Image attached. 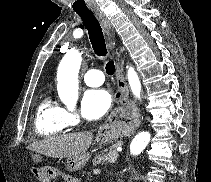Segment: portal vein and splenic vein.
Segmentation results:
<instances>
[{
  "mask_svg": "<svg viewBox=\"0 0 211 182\" xmlns=\"http://www.w3.org/2000/svg\"><path fill=\"white\" fill-rule=\"evenodd\" d=\"M121 150H122L121 148H118V149H117V151H121ZM93 172L96 173V174H97V173H100V169H95Z\"/></svg>",
  "mask_w": 211,
  "mask_h": 182,
  "instance_id": "18ae733b",
  "label": "portal vein and splenic vein"
}]
</instances>
